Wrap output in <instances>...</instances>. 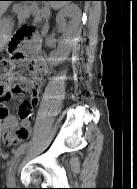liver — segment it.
<instances>
[{"mask_svg":"<svg viewBox=\"0 0 137 189\" xmlns=\"http://www.w3.org/2000/svg\"><path fill=\"white\" fill-rule=\"evenodd\" d=\"M9 5H10V1H0V17L6 11Z\"/></svg>","mask_w":137,"mask_h":189,"instance_id":"obj_1","label":"liver"}]
</instances>
